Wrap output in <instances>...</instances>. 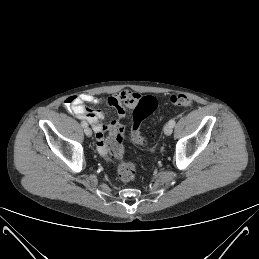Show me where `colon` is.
Here are the masks:
<instances>
[{"label":"colon","mask_w":259,"mask_h":259,"mask_svg":"<svg viewBox=\"0 0 259 259\" xmlns=\"http://www.w3.org/2000/svg\"><path fill=\"white\" fill-rule=\"evenodd\" d=\"M170 102L175 106H189L192 99L184 94L178 93L170 97ZM157 100L153 96L140 97L133 111L131 136L135 143L147 145L148 139L141 135L140 126L142 121L149 116L156 108ZM124 127L121 123L112 125L105 140L104 155L118 162L117 173L121 181L128 183L135 179L136 166L129 161L124 160Z\"/></svg>","instance_id":"colon-1"}]
</instances>
